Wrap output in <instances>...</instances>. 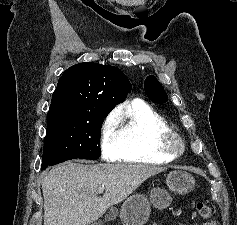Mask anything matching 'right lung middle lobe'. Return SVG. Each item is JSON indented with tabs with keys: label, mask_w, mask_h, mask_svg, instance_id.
Wrapping results in <instances>:
<instances>
[{
	"label": "right lung middle lobe",
	"mask_w": 237,
	"mask_h": 225,
	"mask_svg": "<svg viewBox=\"0 0 237 225\" xmlns=\"http://www.w3.org/2000/svg\"><path fill=\"white\" fill-rule=\"evenodd\" d=\"M109 112L91 119L56 117L48 119L43 156L67 155L81 159L100 156L102 120Z\"/></svg>",
	"instance_id": "dd1d6c3e"
}]
</instances>
